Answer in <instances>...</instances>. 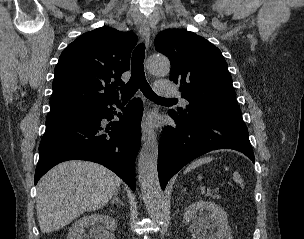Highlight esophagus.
Wrapping results in <instances>:
<instances>
[{
    "label": "esophagus",
    "mask_w": 304,
    "mask_h": 239,
    "mask_svg": "<svg viewBox=\"0 0 304 239\" xmlns=\"http://www.w3.org/2000/svg\"><path fill=\"white\" fill-rule=\"evenodd\" d=\"M139 33L144 39L146 45H148L149 35H150V26L147 20H143L140 24ZM148 114V112H147ZM142 131V141H146L152 134V129L148 126L146 121H143L141 126Z\"/></svg>",
    "instance_id": "34e87169"
}]
</instances>
